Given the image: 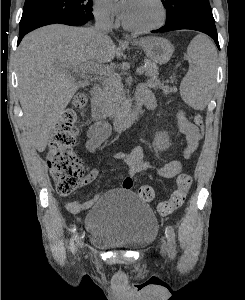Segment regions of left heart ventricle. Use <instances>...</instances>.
I'll return each mask as SVG.
<instances>
[{"instance_id": "1", "label": "left heart ventricle", "mask_w": 245, "mask_h": 300, "mask_svg": "<svg viewBox=\"0 0 245 300\" xmlns=\"http://www.w3.org/2000/svg\"><path fill=\"white\" fill-rule=\"evenodd\" d=\"M123 19L133 26H150L160 19V9L154 0H128Z\"/></svg>"}]
</instances>
